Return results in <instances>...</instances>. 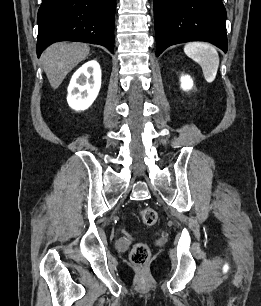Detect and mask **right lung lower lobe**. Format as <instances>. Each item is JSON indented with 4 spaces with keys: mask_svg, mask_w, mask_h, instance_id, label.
Returning a JSON list of instances; mask_svg holds the SVG:
<instances>
[{
    "mask_svg": "<svg viewBox=\"0 0 261 306\" xmlns=\"http://www.w3.org/2000/svg\"><path fill=\"white\" fill-rule=\"evenodd\" d=\"M116 0H43L37 21V56L57 41H80L114 51Z\"/></svg>",
    "mask_w": 261,
    "mask_h": 306,
    "instance_id": "right-lung-lower-lobe-1",
    "label": "right lung lower lobe"
}]
</instances>
